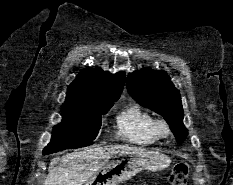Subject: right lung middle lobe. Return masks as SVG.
<instances>
[{
  "mask_svg": "<svg viewBox=\"0 0 233 185\" xmlns=\"http://www.w3.org/2000/svg\"><path fill=\"white\" fill-rule=\"evenodd\" d=\"M114 102L105 101L92 105L64 103L63 120L53 128L51 142L44 148L43 155L93 144L101 128L102 115L107 113Z\"/></svg>",
  "mask_w": 233,
  "mask_h": 185,
  "instance_id": "dd1d6c3e",
  "label": "right lung middle lobe"
}]
</instances>
